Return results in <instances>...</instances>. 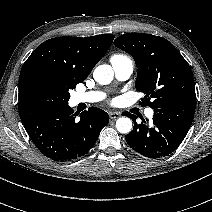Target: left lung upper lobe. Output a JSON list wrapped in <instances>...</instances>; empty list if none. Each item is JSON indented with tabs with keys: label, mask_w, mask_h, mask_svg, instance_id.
Returning <instances> with one entry per match:
<instances>
[{
	"label": "left lung upper lobe",
	"mask_w": 212,
	"mask_h": 212,
	"mask_svg": "<svg viewBox=\"0 0 212 212\" xmlns=\"http://www.w3.org/2000/svg\"><path fill=\"white\" fill-rule=\"evenodd\" d=\"M114 44L129 53L138 67L135 87L145 94L141 105L159 109L178 101H196L189 64L166 39L143 33H127Z\"/></svg>",
	"instance_id": "5c2ea615"
}]
</instances>
